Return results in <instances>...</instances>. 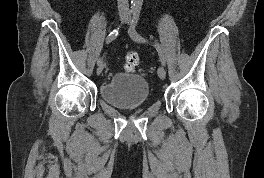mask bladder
I'll list each match as a JSON object with an SVG mask.
<instances>
[{
	"label": "bladder",
	"mask_w": 264,
	"mask_h": 178,
	"mask_svg": "<svg viewBox=\"0 0 264 178\" xmlns=\"http://www.w3.org/2000/svg\"><path fill=\"white\" fill-rule=\"evenodd\" d=\"M100 94L117 108H133L145 104L150 95L146 79L134 73H116L101 86Z\"/></svg>",
	"instance_id": "1"
}]
</instances>
